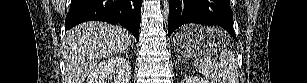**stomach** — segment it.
<instances>
[{"mask_svg": "<svg viewBox=\"0 0 307 83\" xmlns=\"http://www.w3.org/2000/svg\"><path fill=\"white\" fill-rule=\"evenodd\" d=\"M230 42L229 35L219 32L217 28H205L198 25H187L175 34L174 44L179 53L193 57L197 55L212 56L226 47Z\"/></svg>", "mask_w": 307, "mask_h": 83, "instance_id": "0dacf381", "label": "stomach"}]
</instances>
